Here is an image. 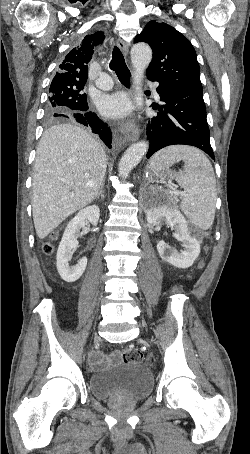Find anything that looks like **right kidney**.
Masks as SVG:
<instances>
[{"label": "right kidney", "instance_id": "right-kidney-1", "mask_svg": "<svg viewBox=\"0 0 250 454\" xmlns=\"http://www.w3.org/2000/svg\"><path fill=\"white\" fill-rule=\"evenodd\" d=\"M100 210L96 205L81 209L68 223L57 251V270L61 278L69 283L78 280L87 266V258H81L75 266H70L69 261L75 248L78 247L76 233L87 222L96 226L99 220Z\"/></svg>", "mask_w": 250, "mask_h": 454}]
</instances>
